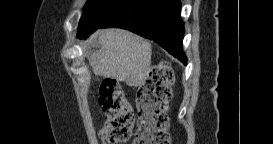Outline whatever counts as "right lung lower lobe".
<instances>
[{
    "label": "right lung lower lobe",
    "instance_id": "obj_1",
    "mask_svg": "<svg viewBox=\"0 0 273 144\" xmlns=\"http://www.w3.org/2000/svg\"><path fill=\"white\" fill-rule=\"evenodd\" d=\"M180 12L179 0H115L102 11L90 32L82 38L99 28H124L153 40L186 65Z\"/></svg>",
    "mask_w": 273,
    "mask_h": 144
}]
</instances>
